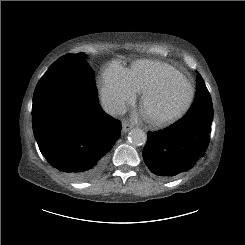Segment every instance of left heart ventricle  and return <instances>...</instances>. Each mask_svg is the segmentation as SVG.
<instances>
[{
  "label": "left heart ventricle",
  "instance_id": "left-heart-ventricle-1",
  "mask_svg": "<svg viewBox=\"0 0 245 245\" xmlns=\"http://www.w3.org/2000/svg\"><path fill=\"white\" fill-rule=\"evenodd\" d=\"M189 86L185 79L175 77L157 96L151 98L144 108L146 115H166L178 110L189 95Z\"/></svg>",
  "mask_w": 245,
  "mask_h": 245
}]
</instances>
